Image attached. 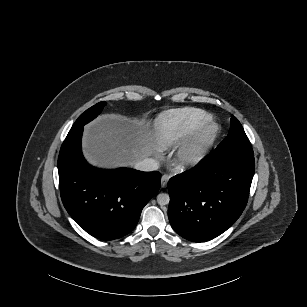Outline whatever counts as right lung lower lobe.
Instances as JSON below:
<instances>
[{"instance_id": "right-lung-lower-lobe-1", "label": "right lung lower lobe", "mask_w": 307, "mask_h": 307, "mask_svg": "<svg viewBox=\"0 0 307 307\" xmlns=\"http://www.w3.org/2000/svg\"><path fill=\"white\" fill-rule=\"evenodd\" d=\"M83 126L69 131L58 157L60 194L70 216L90 235L114 240L130 233L160 188L161 174L89 165L81 151Z\"/></svg>"}]
</instances>
